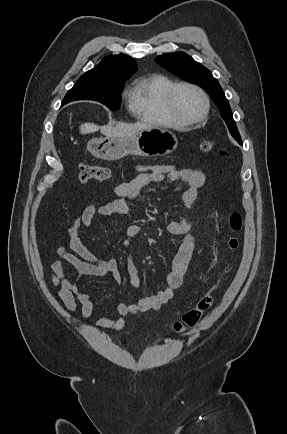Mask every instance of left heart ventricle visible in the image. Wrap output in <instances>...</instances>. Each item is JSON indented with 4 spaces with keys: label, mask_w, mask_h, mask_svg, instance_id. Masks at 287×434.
<instances>
[{
    "label": "left heart ventricle",
    "mask_w": 287,
    "mask_h": 434,
    "mask_svg": "<svg viewBox=\"0 0 287 434\" xmlns=\"http://www.w3.org/2000/svg\"><path fill=\"white\" fill-rule=\"evenodd\" d=\"M175 109L182 118L191 120L202 114L203 102L197 92L184 87L176 93Z\"/></svg>",
    "instance_id": "b2bd125f"
}]
</instances>
